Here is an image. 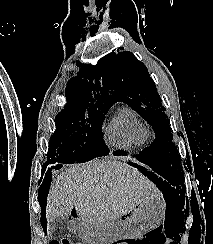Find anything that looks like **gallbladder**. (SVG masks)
Returning <instances> with one entry per match:
<instances>
[{"label": "gallbladder", "instance_id": "obj_1", "mask_svg": "<svg viewBox=\"0 0 213 244\" xmlns=\"http://www.w3.org/2000/svg\"><path fill=\"white\" fill-rule=\"evenodd\" d=\"M56 226H57V224L56 223H51V225H50V228H51V230H53V229H55L56 228Z\"/></svg>", "mask_w": 213, "mask_h": 244}]
</instances>
